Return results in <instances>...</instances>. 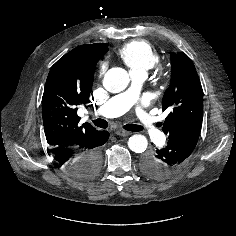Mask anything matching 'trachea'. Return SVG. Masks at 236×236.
I'll return each instance as SVG.
<instances>
[{
	"instance_id": "trachea-1",
	"label": "trachea",
	"mask_w": 236,
	"mask_h": 236,
	"mask_svg": "<svg viewBox=\"0 0 236 236\" xmlns=\"http://www.w3.org/2000/svg\"><path fill=\"white\" fill-rule=\"evenodd\" d=\"M95 126L99 128H107L108 127V122L104 119H96L92 121ZM125 130L132 131V132H139L142 131V127L140 125H135V124H126L123 126Z\"/></svg>"
}]
</instances>
